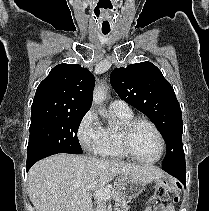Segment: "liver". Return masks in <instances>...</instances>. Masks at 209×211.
<instances>
[{
  "label": "liver",
  "mask_w": 209,
  "mask_h": 211,
  "mask_svg": "<svg viewBox=\"0 0 209 211\" xmlns=\"http://www.w3.org/2000/svg\"><path fill=\"white\" fill-rule=\"evenodd\" d=\"M132 178L148 184L163 177L155 167L92 156L56 154L35 163L28 173V194L37 211H94L87 187L104 188L112 179Z\"/></svg>",
  "instance_id": "liver-1"
}]
</instances>
